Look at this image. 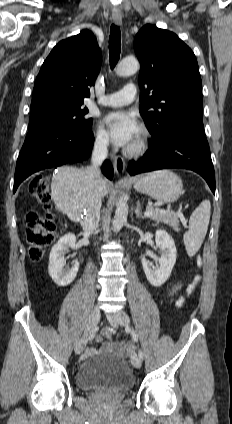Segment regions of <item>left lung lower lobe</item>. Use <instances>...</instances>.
I'll list each match as a JSON object with an SVG mask.
<instances>
[{
    "label": "left lung lower lobe",
    "mask_w": 232,
    "mask_h": 424,
    "mask_svg": "<svg viewBox=\"0 0 232 424\" xmlns=\"http://www.w3.org/2000/svg\"><path fill=\"white\" fill-rule=\"evenodd\" d=\"M168 168L197 172L215 194V173L202 115H184L169 121L159 135L152 136L145 156L130 162L129 174Z\"/></svg>",
    "instance_id": "left-lung-lower-lobe-1"
}]
</instances>
